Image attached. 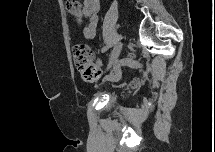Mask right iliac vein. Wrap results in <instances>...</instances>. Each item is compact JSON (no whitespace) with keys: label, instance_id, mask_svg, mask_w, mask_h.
Segmentation results:
<instances>
[{"label":"right iliac vein","instance_id":"1","mask_svg":"<svg viewBox=\"0 0 215 152\" xmlns=\"http://www.w3.org/2000/svg\"><path fill=\"white\" fill-rule=\"evenodd\" d=\"M122 46L123 44L122 43H119L115 49L113 50L111 56H110V59H109V64H108V67L107 69H110L112 66L115 65V63L117 62L118 60V57L120 55V52L122 50Z\"/></svg>","mask_w":215,"mask_h":152}]
</instances>
